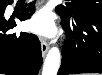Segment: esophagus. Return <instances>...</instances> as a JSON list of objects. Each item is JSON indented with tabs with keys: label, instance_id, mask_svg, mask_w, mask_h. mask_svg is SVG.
<instances>
[{
	"label": "esophagus",
	"instance_id": "34e87169",
	"mask_svg": "<svg viewBox=\"0 0 102 75\" xmlns=\"http://www.w3.org/2000/svg\"><path fill=\"white\" fill-rule=\"evenodd\" d=\"M40 42H41L42 56L44 57L49 49V44H48L47 40H45L44 38H41Z\"/></svg>",
	"mask_w": 102,
	"mask_h": 75
}]
</instances>
